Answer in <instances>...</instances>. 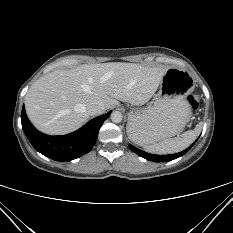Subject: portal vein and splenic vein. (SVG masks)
<instances>
[{
	"mask_svg": "<svg viewBox=\"0 0 233 233\" xmlns=\"http://www.w3.org/2000/svg\"><path fill=\"white\" fill-rule=\"evenodd\" d=\"M107 78H108V76H104V77H103V80H106Z\"/></svg>",
	"mask_w": 233,
	"mask_h": 233,
	"instance_id": "obj_1",
	"label": "portal vein and splenic vein"
}]
</instances>
